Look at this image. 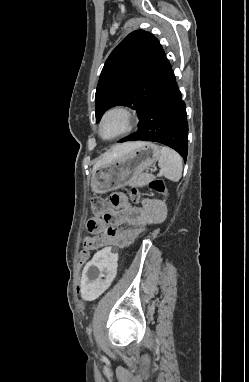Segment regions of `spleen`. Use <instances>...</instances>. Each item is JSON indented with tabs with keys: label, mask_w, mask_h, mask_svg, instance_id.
<instances>
[{
	"label": "spleen",
	"mask_w": 249,
	"mask_h": 382,
	"mask_svg": "<svg viewBox=\"0 0 249 382\" xmlns=\"http://www.w3.org/2000/svg\"><path fill=\"white\" fill-rule=\"evenodd\" d=\"M160 172L169 180L177 182L182 176L183 164L181 156L169 147L161 148L158 159Z\"/></svg>",
	"instance_id": "spleen-1"
}]
</instances>
